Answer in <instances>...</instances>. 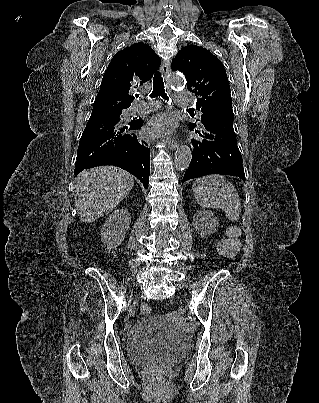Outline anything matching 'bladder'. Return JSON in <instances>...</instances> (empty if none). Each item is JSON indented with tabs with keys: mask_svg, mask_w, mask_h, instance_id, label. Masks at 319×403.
I'll use <instances>...</instances> for the list:
<instances>
[{
	"mask_svg": "<svg viewBox=\"0 0 319 403\" xmlns=\"http://www.w3.org/2000/svg\"><path fill=\"white\" fill-rule=\"evenodd\" d=\"M128 357L144 365H160L180 359L188 349V339L165 316L149 314L128 331Z\"/></svg>",
	"mask_w": 319,
	"mask_h": 403,
	"instance_id": "31cf9c89",
	"label": "bladder"
}]
</instances>
